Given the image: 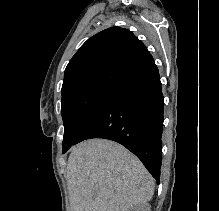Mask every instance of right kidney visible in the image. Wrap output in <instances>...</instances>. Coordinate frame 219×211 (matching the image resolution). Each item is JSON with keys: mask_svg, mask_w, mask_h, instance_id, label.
<instances>
[{"mask_svg": "<svg viewBox=\"0 0 219 211\" xmlns=\"http://www.w3.org/2000/svg\"><path fill=\"white\" fill-rule=\"evenodd\" d=\"M132 211H151L150 203H138L132 207Z\"/></svg>", "mask_w": 219, "mask_h": 211, "instance_id": "1", "label": "right kidney"}]
</instances>
